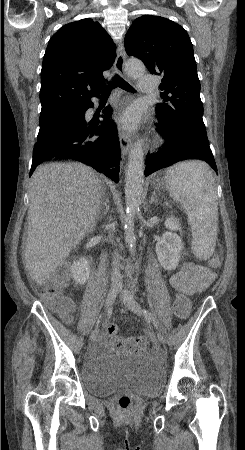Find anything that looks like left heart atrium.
<instances>
[{
  "label": "left heart atrium",
  "instance_id": "left-heart-atrium-1",
  "mask_svg": "<svg viewBox=\"0 0 245 450\" xmlns=\"http://www.w3.org/2000/svg\"><path fill=\"white\" fill-rule=\"evenodd\" d=\"M141 122V112L138 107L127 108L118 118L120 126L128 131L135 130Z\"/></svg>",
  "mask_w": 245,
  "mask_h": 450
}]
</instances>
